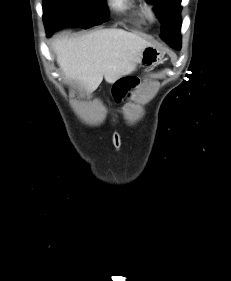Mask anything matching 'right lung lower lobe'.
<instances>
[{
  "mask_svg": "<svg viewBox=\"0 0 231 281\" xmlns=\"http://www.w3.org/2000/svg\"><path fill=\"white\" fill-rule=\"evenodd\" d=\"M53 32L50 30H47V36L49 37Z\"/></svg>",
  "mask_w": 231,
  "mask_h": 281,
  "instance_id": "right-lung-lower-lobe-1",
  "label": "right lung lower lobe"
}]
</instances>
